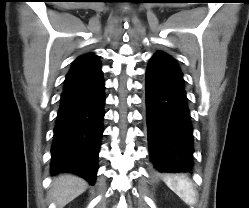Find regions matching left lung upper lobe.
I'll return each mask as SVG.
<instances>
[{"mask_svg":"<svg viewBox=\"0 0 249 208\" xmlns=\"http://www.w3.org/2000/svg\"><path fill=\"white\" fill-rule=\"evenodd\" d=\"M155 55H158V56H165V57H168V58L173 59L172 57H170L168 54H166V53H164V52H157Z\"/></svg>","mask_w":249,"mask_h":208,"instance_id":"5c2ea615","label":"left lung upper lobe"}]
</instances>
